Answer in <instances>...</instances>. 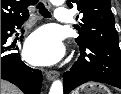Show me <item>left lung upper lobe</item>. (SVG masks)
I'll return each mask as SVG.
<instances>
[{"label":"left lung upper lobe","instance_id":"5c2ea615","mask_svg":"<svg viewBox=\"0 0 121 94\" xmlns=\"http://www.w3.org/2000/svg\"><path fill=\"white\" fill-rule=\"evenodd\" d=\"M67 5L81 13L76 17L81 20L76 28L79 34L76 42L80 47L93 43L119 46L110 0H67Z\"/></svg>","mask_w":121,"mask_h":94}]
</instances>
